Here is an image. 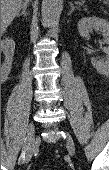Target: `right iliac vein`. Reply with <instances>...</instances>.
<instances>
[{
    "label": "right iliac vein",
    "mask_w": 109,
    "mask_h": 170,
    "mask_svg": "<svg viewBox=\"0 0 109 170\" xmlns=\"http://www.w3.org/2000/svg\"><path fill=\"white\" fill-rule=\"evenodd\" d=\"M26 144L27 149L25 152V158L23 163H28L32 157L33 154V147L35 143V126L34 123L31 122L28 126L27 135H26Z\"/></svg>",
    "instance_id": "obj_1"
}]
</instances>
